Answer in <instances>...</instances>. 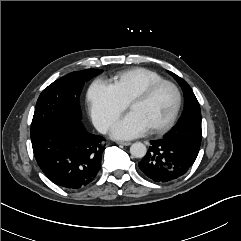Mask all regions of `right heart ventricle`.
<instances>
[{
	"instance_id": "obj_1",
	"label": "right heart ventricle",
	"mask_w": 241,
	"mask_h": 241,
	"mask_svg": "<svg viewBox=\"0 0 241 241\" xmlns=\"http://www.w3.org/2000/svg\"><path fill=\"white\" fill-rule=\"evenodd\" d=\"M164 80V78L150 69L135 67L116 74L112 85L119 96L129 103L130 99L151 83Z\"/></svg>"
}]
</instances>
